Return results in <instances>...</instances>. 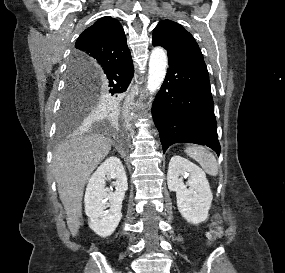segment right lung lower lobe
I'll return each mask as SVG.
<instances>
[{
  "instance_id": "obj_1",
  "label": "right lung lower lobe",
  "mask_w": 285,
  "mask_h": 273,
  "mask_svg": "<svg viewBox=\"0 0 285 273\" xmlns=\"http://www.w3.org/2000/svg\"><path fill=\"white\" fill-rule=\"evenodd\" d=\"M133 74L134 67L130 57L123 62L104 66L101 70L94 72L91 75V82L93 86L104 90L110 95H115L126 91ZM115 106L116 103L105 104V107L110 110H113Z\"/></svg>"
}]
</instances>
